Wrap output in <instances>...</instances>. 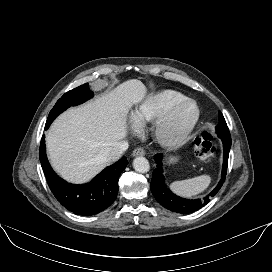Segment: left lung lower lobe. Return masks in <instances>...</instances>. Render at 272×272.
I'll use <instances>...</instances> for the list:
<instances>
[{
  "instance_id": "1",
  "label": "left lung lower lobe",
  "mask_w": 272,
  "mask_h": 272,
  "mask_svg": "<svg viewBox=\"0 0 272 272\" xmlns=\"http://www.w3.org/2000/svg\"><path fill=\"white\" fill-rule=\"evenodd\" d=\"M222 142L224 159L221 180L213 191L200 199H184L176 196L167 188L162 169V155L156 154L154 158L157 163V168L153 171L150 184L155 199L166 209L182 214L195 212L205 206L217 194L225 181L231 140H222Z\"/></svg>"
}]
</instances>
